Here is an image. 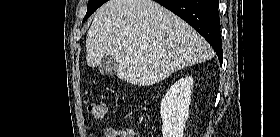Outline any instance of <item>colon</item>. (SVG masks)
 <instances>
[{"mask_svg": "<svg viewBox=\"0 0 280 137\" xmlns=\"http://www.w3.org/2000/svg\"><path fill=\"white\" fill-rule=\"evenodd\" d=\"M88 112L96 120H103L107 113V107L103 102L94 101V102L89 103Z\"/></svg>", "mask_w": 280, "mask_h": 137, "instance_id": "obj_1", "label": "colon"}]
</instances>
